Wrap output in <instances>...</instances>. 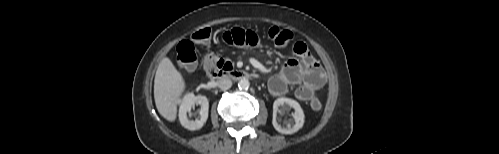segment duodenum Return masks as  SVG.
<instances>
[{"instance_id":"1","label":"duodenum","mask_w":499,"mask_h":154,"mask_svg":"<svg viewBox=\"0 0 499 154\" xmlns=\"http://www.w3.org/2000/svg\"><path fill=\"white\" fill-rule=\"evenodd\" d=\"M208 75L210 78L212 79H223V78H227V79H231V80H234V81H242V80H246V79H251L254 77V75L250 72H247V71H243V70H228L226 72H223L219 69H210L209 72H208Z\"/></svg>"}]
</instances>
